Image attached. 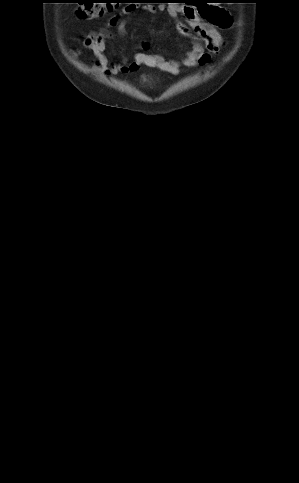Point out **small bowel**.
I'll return each instance as SVG.
<instances>
[{
	"label": "small bowel",
	"instance_id": "c3829d8e",
	"mask_svg": "<svg viewBox=\"0 0 299 483\" xmlns=\"http://www.w3.org/2000/svg\"><path fill=\"white\" fill-rule=\"evenodd\" d=\"M137 8L136 5L127 6L123 12L129 15ZM142 9L148 12L166 11L171 18L176 20L179 33L188 35L191 29L197 34L200 41L194 42L192 48L186 52L180 61L167 59L161 55L140 52L135 54L132 62L119 64L109 59L105 53V39L113 36V34L107 29L93 30L83 37L82 48L92 53L97 69L104 75L133 72L143 65L177 75L185 70L207 65L211 58L219 53L224 43L217 27H227L231 21L226 10L208 3L204 7L206 21L200 19L202 16L199 6L181 4L145 5ZM181 18H184L186 22L182 21ZM107 26L115 28L117 36L126 34V22L121 19L120 15L108 20ZM141 47L147 50L149 44L143 42ZM78 54L79 52H74V55Z\"/></svg>",
	"mask_w": 299,
	"mask_h": 483
}]
</instances>
